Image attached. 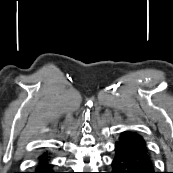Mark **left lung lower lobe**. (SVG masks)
Returning <instances> with one entry per match:
<instances>
[{
    "label": "left lung lower lobe",
    "mask_w": 173,
    "mask_h": 173,
    "mask_svg": "<svg viewBox=\"0 0 173 173\" xmlns=\"http://www.w3.org/2000/svg\"><path fill=\"white\" fill-rule=\"evenodd\" d=\"M110 173H156L147 148L116 142Z\"/></svg>",
    "instance_id": "1"
}]
</instances>
